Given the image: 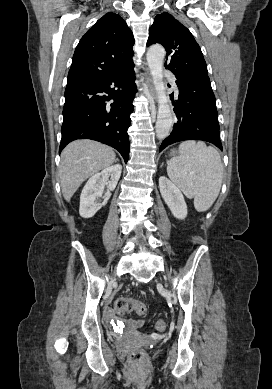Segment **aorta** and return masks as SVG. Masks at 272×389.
I'll return each mask as SVG.
<instances>
[{"label":"aorta","mask_w":272,"mask_h":389,"mask_svg":"<svg viewBox=\"0 0 272 389\" xmlns=\"http://www.w3.org/2000/svg\"><path fill=\"white\" fill-rule=\"evenodd\" d=\"M165 54L164 47L159 44L152 45L147 52V63L158 98V114L155 126V132L158 139L166 138L170 134L173 126L170 101L169 97L166 95L165 83L163 81V63Z\"/></svg>","instance_id":"762f6f07"}]
</instances>
